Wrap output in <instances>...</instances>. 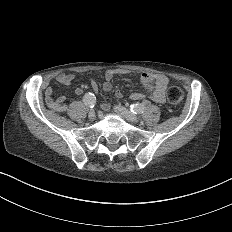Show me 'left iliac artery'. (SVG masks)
I'll return each instance as SVG.
<instances>
[{
    "label": "left iliac artery",
    "instance_id": "1",
    "mask_svg": "<svg viewBox=\"0 0 232 232\" xmlns=\"http://www.w3.org/2000/svg\"><path fill=\"white\" fill-rule=\"evenodd\" d=\"M130 111L134 114H140L143 113L145 111V106H143L142 104H132L130 105Z\"/></svg>",
    "mask_w": 232,
    "mask_h": 232
}]
</instances>
